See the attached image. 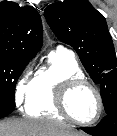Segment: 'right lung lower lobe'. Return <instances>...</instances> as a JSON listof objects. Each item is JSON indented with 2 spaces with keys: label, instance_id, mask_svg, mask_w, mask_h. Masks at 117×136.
<instances>
[{
  "label": "right lung lower lobe",
  "instance_id": "98d812e1",
  "mask_svg": "<svg viewBox=\"0 0 117 136\" xmlns=\"http://www.w3.org/2000/svg\"><path fill=\"white\" fill-rule=\"evenodd\" d=\"M15 109V102L0 99V118H3Z\"/></svg>",
  "mask_w": 117,
  "mask_h": 136
}]
</instances>
